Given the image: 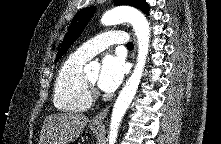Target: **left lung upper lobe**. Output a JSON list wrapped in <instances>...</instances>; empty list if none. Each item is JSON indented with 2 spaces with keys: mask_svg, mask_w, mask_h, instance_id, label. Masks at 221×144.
<instances>
[{
  "mask_svg": "<svg viewBox=\"0 0 221 144\" xmlns=\"http://www.w3.org/2000/svg\"><path fill=\"white\" fill-rule=\"evenodd\" d=\"M114 4L130 5L142 10L147 15H149V7L145 0H114ZM94 12L95 7L92 6L84 8L76 14L57 54V61L70 48L71 44H73L74 41L80 36L81 32L86 27Z\"/></svg>",
  "mask_w": 221,
  "mask_h": 144,
  "instance_id": "1",
  "label": "left lung upper lobe"
}]
</instances>
